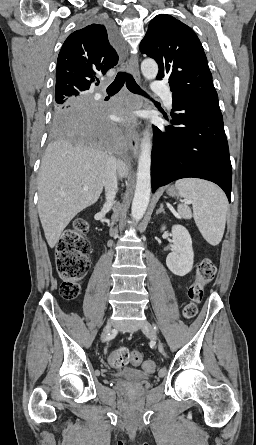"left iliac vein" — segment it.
Instances as JSON below:
<instances>
[{
	"mask_svg": "<svg viewBox=\"0 0 256 445\" xmlns=\"http://www.w3.org/2000/svg\"><path fill=\"white\" fill-rule=\"evenodd\" d=\"M141 329H142V332L145 335H147V336H149V337H151V338H153V339L158 341L159 352L164 355L165 354L164 346L160 342V340L158 339V336L156 334V331H155L154 327L149 322L146 321V322L143 323Z\"/></svg>",
	"mask_w": 256,
	"mask_h": 445,
	"instance_id": "left-iliac-vein-1",
	"label": "left iliac vein"
}]
</instances>
